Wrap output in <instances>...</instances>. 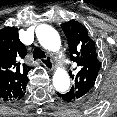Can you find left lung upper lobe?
Wrapping results in <instances>:
<instances>
[{"instance_id":"5c2ea615","label":"left lung upper lobe","mask_w":117,"mask_h":117,"mask_svg":"<svg viewBox=\"0 0 117 117\" xmlns=\"http://www.w3.org/2000/svg\"><path fill=\"white\" fill-rule=\"evenodd\" d=\"M70 44L71 60L77 63L78 72L71 75L74 85L67 93L71 100L86 97L93 88L101 63L98 60L95 42L81 23L71 20L61 24Z\"/></svg>"}]
</instances>
